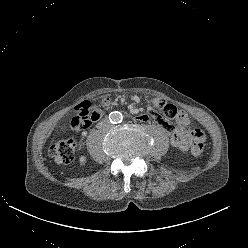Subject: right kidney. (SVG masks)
I'll list each match as a JSON object with an SVG mask.
<instances>
[{"label":"right kidney","mask_w":248,"mask_h":248,"mask_svg":"<svg viewBox=\"0 0 248 248\" xmlns=\"http://www.w3.org/2000/svg\"><path fill=\"white\" fill-rule=\"evenodd\" d=\"M79 162H80V164H85V162H86V156H84V155L80 156Z\"/></svg>","instance_id":"1"}]
</instances>
